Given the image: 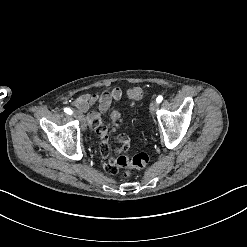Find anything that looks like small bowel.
<instances>
[{
  "label": "small bowel",
  "instance_id": "1",
  "mask_svg": "<svg viewBox=\"0 0 247 247\" xmlns=\"http://www.w3.org/2000/svg\"><path fill=\"white\" fill-rule=\"evenodd\" d=\"M123 98V91L115 87L108 93H103L100 95L85 93L76 98L72 105L82 112L88 111L94 104H98V111H91L87 114V122L90 126H93L99 135V141L96 144L99 150L100 161L103 166L105 173L110 175H116L118 173V168L113 166L115 163V158L110 155L108 147V136L115 138L118 144L115 147V152L117 154H122L128 151L131 147V138L129 136H124L118 134V128L121 125L122 117L121 113L114 110L110 115L111 127L108 129L102 122V113L107 111L112 101H119Z\"/></svg>",
  "mask_w": 247,
  "mask_h": 247
}]
</instances>
